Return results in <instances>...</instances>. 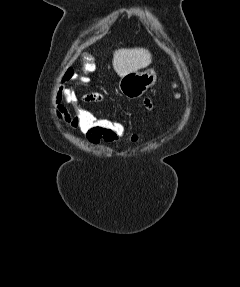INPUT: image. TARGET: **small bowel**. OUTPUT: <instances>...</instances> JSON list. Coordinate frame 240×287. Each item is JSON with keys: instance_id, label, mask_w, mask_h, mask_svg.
<instances>
[{"instance_id": "c3829d8e", "label": "small bowel", "mask_w": 240, "mask_h": 287, "mask_svg": "<svg viewBox=\"0 0 240 287\" xmlns=\"http://www.w3.org/2000/svg\"><path fill=\"white\" fill-rule=\"evenodd\" d=\"M106 99H107L106 95L100 92H91V93L85 94V97H84V100L86 103H100V102L105 101ZM53 105H54V110H55V116L57 117V119L67 124L72 129H76V126L72 124L71 120L69 119L65 105L57 90L54 95ZM144 105L148 110H153V103L151 102L149 98H146L144 100ZM86 138L88 142L93 146H98L103 141L108 142V143H114L117 141V139H106V138H103L97 135H86Z\"/></svg>"}]
</instances>
